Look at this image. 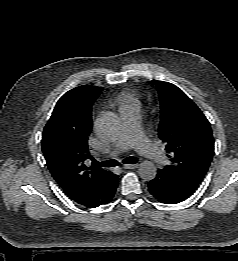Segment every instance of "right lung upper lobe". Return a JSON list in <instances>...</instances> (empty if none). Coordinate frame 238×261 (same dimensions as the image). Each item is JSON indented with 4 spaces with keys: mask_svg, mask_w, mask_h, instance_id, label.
I'll return each mask as SVG.
<instances>
[{
    "mask_svg": "<svg viewBox=\"0 0 238 261\" xmlns=\"http://www.w3.org/2000/svg\"><path fill=\"white\" fill-rule=\"evenodd\" d=\"M102 87L82 85L57 102L42 136L46 164L65 194L75 202L98 190L109 171L86 166L92 130V105Z\"/></svg>",
    "mask_w": 238,
    "mask_h": 261,
    "instance_id": "1",
    "label": "right lung upper lobe"
}]
</instances>
